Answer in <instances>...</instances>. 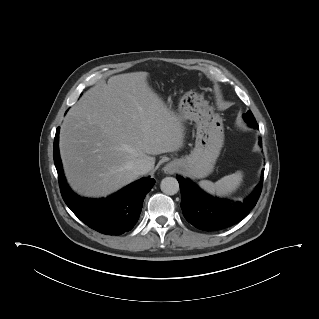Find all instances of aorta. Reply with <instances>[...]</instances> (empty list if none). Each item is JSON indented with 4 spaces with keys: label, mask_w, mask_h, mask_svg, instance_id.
<instances>
[{
    "label": "aorta",
    "mask_w": 319,
    "mask_h": 319,
    "mask_svg": "<svg viewBox=\"0 0 319 319\" xmlns=\"http://www.w3.org/2000/svg\"><path fill=\"white\" fill-rule=\"evenodd\" d=\"M161 191L166 195H174L179 191V183L176 178L165 177L160 184Z\"/></svg>",
    "instance_id": "obj_1"
}]
</instances>
